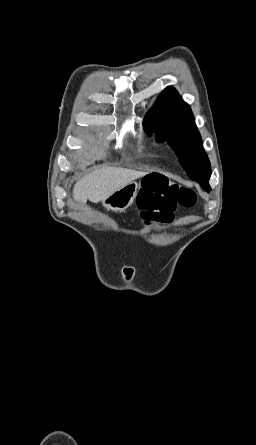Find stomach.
<instances>
[{
    "label": "stomach",
    "instance_id": "stomach-1",
    "mask_svg": "<svg viewBox=\"0 0 256 445\" xmlns=\"http://www.w3.org/2000/svg\"><path fill=\"white\" fill-rule=\"evenodd\" d=\"M140 187V183L132 181L105 198L102 204L107 209L115 212L125 211L134 202Z\"/></svg>",
    "mask_w": 256,
    "mask_h": 445
}]
</instances>
